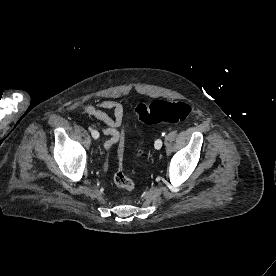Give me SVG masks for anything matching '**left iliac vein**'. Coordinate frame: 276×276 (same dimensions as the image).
Instances as JSON below:
<instances>
[{
    "mask_svg": "<svg viewBox=\"0 0 276 276\" xmlns=\"http://www.w3.org/2000/svg\"><path fill=\"white\" fill-rule=\"evenodd\" d=\"M162 144H163V142H162V140L161 139H157L156 141H155V148L156 149H160L161 147H162Z\"/></svg>",
    "mask_w": 276,
    "mask_h": 276,
    "instance_id": "4c4485c4",
    "label": "left iliac vein"
}]
</instances>
